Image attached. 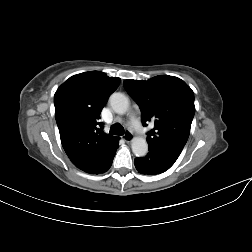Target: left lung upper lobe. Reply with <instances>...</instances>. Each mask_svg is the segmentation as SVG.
Here are the masks:
<instances>
[{"mask_svg": "<svg viewBox=\"0 0 252 252\" xmlns=\"http://www.w3.org/2000/svg\"><path fill=\"white\" fill-rule=\"evenodd\" d=\"M124 86L140 107L142 124L154 122V128L147 133L148 145L180 155L195 113L192 89L183 80L169 75L147 81L127 79Z\"/></svg>", "mask_w": 252, "mask_h": 252, "instance_id": "left-lung-upper-lobe-1", "label": "left lung upper lobe"}]
</instances>
